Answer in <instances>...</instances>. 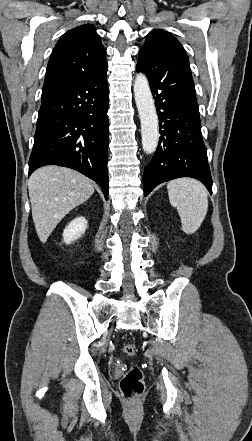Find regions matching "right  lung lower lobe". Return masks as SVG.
Segmentation results:
<instances>
[{
	"label": "right lung lower lobe",
	"instance_id": "obj_1",
	"mask_svg": "<svg viewBox=\"0 0 252 441\" xmlns=\"http://www.w3.org/2000/svg\"><path fill=\"white\" fill-rule=\"evenodd\" d=\"M108 83L97 76L42 91L29 175L45 165L81 172L108 198Z\"/></svg>",
	"mask_w": 252,
	"mask_h": 441
}]
</instances>
